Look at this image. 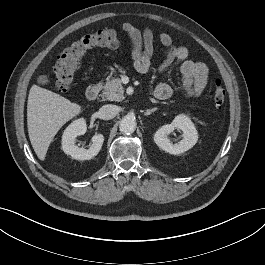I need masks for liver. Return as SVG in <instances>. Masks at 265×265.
<instances>
[{"label":"liver","instance_id":"6515ba94","mask_svg":"<svg viewBox=\"0 0 265 265\" xmlns=\"http://www.w3.org/2000/svg\"><path fill=\"white\" fill-rule=\"evenodd\" d=\"M81 112V106L57 93L33 85L27 103V127L31 145L40 160L60 128Z\"/></svg>","mask_w":265,"mask_h":265}]
</instances>
